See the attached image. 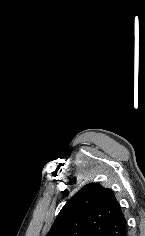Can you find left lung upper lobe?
<instances>
[{
  "instance_id": "obj_1",
  "label": "left lung upper lobe",
  "mask_w": 145,
  "mask_h": 236,
  "mask_svg": "<svg viewBox=\"0 0 145 236\" xmlns=\"http://www.w3.org/2000/svg\"><path fill=\"white\" fill-rule=\"evenodd\" d=\"M126 228L113 192L91 183L64 205L47 236H123Z\"/></svg>"
}]
</instances>
